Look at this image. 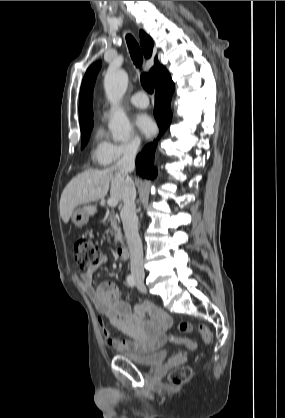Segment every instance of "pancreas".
I'll return each mask as SVG.
<instances>
[{
	"mask_svg": "<svg viewBox=\"0 0 285 418\" xmlns=\"http://www.w3.org/2000/svg\"><path fill=\"white\" fill-rule=\"evenodd\" d=\"M108 222L110 223V228L106 230V233L114 236L115 244L123 242V235L121 228L118 225V220L113 213H111L108 217Z\"/></svg>",
	"mask_w": 285,
	"mask_h": 418,
	"instance_id": "obj_1",
	"label": "pancreas"
}]
</instances>
